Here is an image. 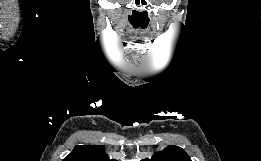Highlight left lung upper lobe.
<instances>
[{"label":"left lung upper lobe","mask_w":261,"mask_h":161,"mask_svg":"<svg viewBox=\"0 0 261 161\" xmlns=\"http://www.w3.org/2000/svg\"><path fill=\"white\" fill-rule=\"evenodd\" d=\"M142 161H191L185 151L177 146H169L162 152L154 154L151 159Z\"/></svg>","instance_id":"1"}]
</instances>
